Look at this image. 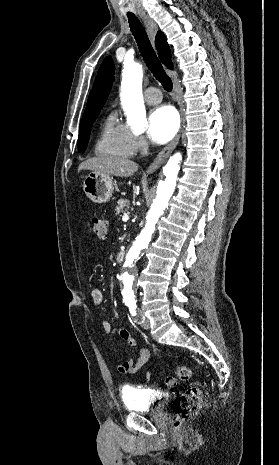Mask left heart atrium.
<instances>
[{
	"instance_id": "1",
	"label": "left heart atrium",
	"mask_w": 279,
	"mask_h": 465,
	"mask_svg": "<svg viewBox=\"0 0 279 465\" xmlns=\"http://www.w3.org/2000/svg\"><path fill=\"white\" fill-rule=\"evenodd\" d=\"M179 127V119L175 110L167 105L154 109L147 125V135L155 143L164 144L170 141Z\"/></svg>"
}]
</instances>
